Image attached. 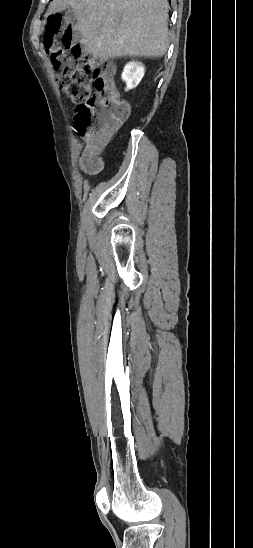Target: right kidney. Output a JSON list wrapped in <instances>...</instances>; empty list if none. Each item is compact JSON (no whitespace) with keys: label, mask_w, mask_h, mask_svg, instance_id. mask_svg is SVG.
<instances>
[{"label":"right kidney","mask_w":253,"mask_h":548,"mask_svg":"<svg viewBox=\"0 0 253 548\" xmlns=\"http://www.w3.org/2000/svg\"><path fill=\"white\" fill-rule=\"evenodd\" d=\"M145 73L144 66L138 61L126 64L122 73V80L126 82V90L136 87Z\"/></svg>","instance_id":"right-kidney-1"}]
</instances>
